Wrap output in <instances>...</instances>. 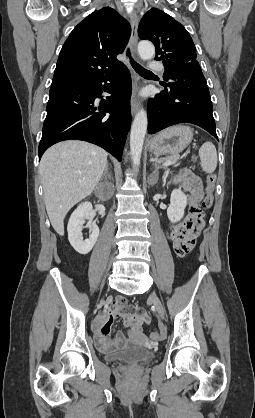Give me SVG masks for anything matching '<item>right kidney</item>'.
Wrapping results in <instances>:
<instances>
[{
    "label": "right kidney",
    "instance_id": "obj_1",
    "mask_svg": "<svg viewBox=\"0 0 255 418\" xmlns=\"http://www.w3.org/2000/svg\"><path fill=\"white\" fill-rule=\"evenodd\" d=\"M85 220H88L87 226L90 228V236L84 240L82 228ZM92 220V204L90 202H83L71 214L68 222L67 231L69 242L78 253L83 255L88 254L92 250L99 236V228Z\"/></svg>",
    "mask_w": 255,
    "mask_h": 418
}]
</instances>
